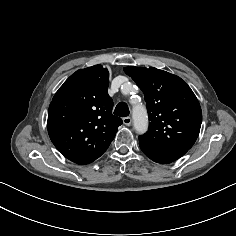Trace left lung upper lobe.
<instances>
[{
  "label": "left lung upper lobe",
  "mask_w": 236,
  "mask_h": 236,
  "mask_svg": "<svg viewBox=\"0 0 236 236\" xmlns=\"http://www.w3.org/2000/svg\"><path fill=\"white\" fill-rule=\"evenodd\" d=\"M144 93L149 129L139 143L152 148L189 150L201 127L202 111L191 88L180 77L157 68L125 67Z\"/></svg>",
  "instance_id": "obj_1"
}]
</instances>
